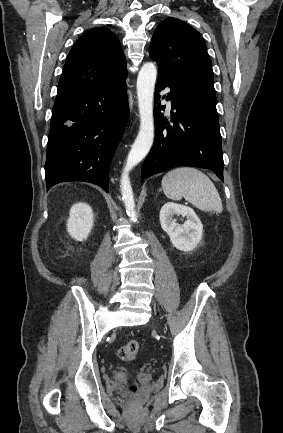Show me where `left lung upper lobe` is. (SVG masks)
Instances as JSON below:
<instances>
[{"instance_id": "obj_1", "label": "left lung upper lobe", "mask_w": 283, "mask_h": 433, "mask_svg": "<svg viewBox=\"0 0 283 433\" xmlns=\"http://www.w3.org/2000/svg\"><path fill=\"white\" fill-rule=\"evenodd\" d=\"M150 57L159 70L187 83L190 107L218 118L212 62L198 31L177 18L165 19L152 37Z\"/></svg>"}]
</instances>
